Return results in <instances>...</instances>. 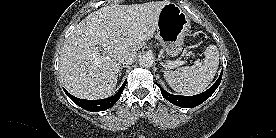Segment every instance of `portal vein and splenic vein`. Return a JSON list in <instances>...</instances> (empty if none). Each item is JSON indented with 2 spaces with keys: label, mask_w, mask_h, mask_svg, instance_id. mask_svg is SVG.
Listing matches in <instances>:
<instances>
[{
  "label": "portal vein and splenic vein",
  "mask_w": 276,
  "mask_h": 138,
  "mask_svg": "<svg viewBox=\"0 0 276 138\" xmlns=\"http://www.w3.org/2000/svg\"><path fill=\"white\" fill-rule=\"evenodd\" d=\"M184 63H185V61L175 62V64H177V65H183Z\"/></svg>",
  "instance_id": "1"
}]
</instances>
